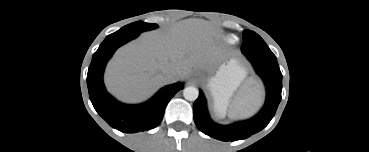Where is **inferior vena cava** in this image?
Here are the masks:
<instances>
[{
  "label": "inferior vena cava",
  "mask_w": 369,
  "mask_h": 152,
  "mask_svg": "<svg viewBox=\"0 0 369 152\" xmlns=\"http://www.w3.org/2000/svg\"><path fill=\"white\" fill-rule=\"evenodd\" d=\"M165 72L168 77H172L175 74V71L172 69H167Z\"/></svg>",
  "instance_id": "1"
}]
</instances>
